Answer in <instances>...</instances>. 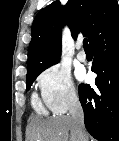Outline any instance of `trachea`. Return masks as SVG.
I'll use <instances>...</instances> for the list:
<instances>
[{
  "label": "trachea",
  "instance_id": "1",
  "mask_svg": "<svg viewBox=\"0 0 119 141\" xmlns=\"http://www.w3.org/2000/svg\"><path fill=\"white\" fill-rule=\"evenodd\" d=\"M83 47H84V49H90L86 38L83 40Z\"/></svg>",
  "mask_w": 119,
  "mask_h": 141
}]
</instances>
